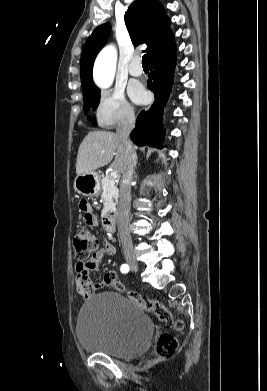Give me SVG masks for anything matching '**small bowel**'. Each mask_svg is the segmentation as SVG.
Segmentation results:
<instances>
[{
    "mask_svg": "<svg viewBox=\"0 0 267 391\" xmlns=\"http://www.w3.org/2000/svg\"><path fill=\"white\" fill-rule=\"evenodd\" d=\"M79 209L84 213V222L87 225L96 226L98 224V219L93 213L92 207L88 201L81 200L79 202ZM115 252V247L112 244L106 242L101 250L94 253L89 262L76 264V286L77 292L81 296L84 298H89L100 288L109 286L107 282L108 273L104 274L102 280L98 283L90 282L89 275L99 269L101 259L104 255H113Z\"/></svg>",
    "mask_w": 267,
    "mask_h": 391,
    "instance_id": "small-bowel-1",
    "label": "small bowel"
}]
</instances>
